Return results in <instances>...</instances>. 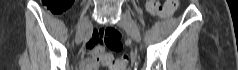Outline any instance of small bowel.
<instances>
[{"instance_id": "c3829d8e", "label": "small bowel", "mask_w": 238, "mask_h": 70, "mask_svg": "<svg viewBox=\"0 0 238 70\" xmlns=\"http://www.w3.org/2000/svg\"><path fill=\"white\" fill-rule=\"evenodd\" d=\"M86 47L89 49L91 57L81 61L80 70H98L101 63L105 65L107 59L111 58L110 54H101L98 51L93 36L86 41Z\"/></svg>"}]
</instances>
